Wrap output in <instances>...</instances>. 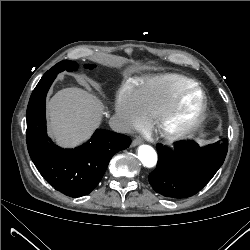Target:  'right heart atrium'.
<instances>
[{"instance_id": "d8ad5b80", "label": "right heart atrium", "mask_w": 250, "mask_h": 250, "mask_svg": "<svg viewBox=\"0 0 250 250\" xmlns=\"http://www.w3.org/2000/svg\"><path fill=\"white\" fill-rule=\"evenodd\" d=\"M116 113L124 131L143 129L149 123L134 88L124 85L118 92Z\"/></svg>"}]
</instances>
